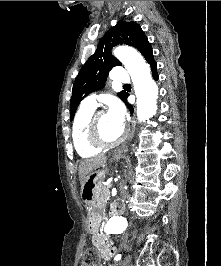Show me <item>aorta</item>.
Wrapping results in <instances>:
<instances>
[{
	"label": "aorta",
	"mask_w": 221,
	"mask_h": 266,
	"mask_svg": "<svg viewBox=\"0 0 221 266\" xmlns=\"http://www.w3.org/2000/svg\"><path fill=\"white\" fill-rule=\"evenodd\" d=\"M114 55L131 76L137 98V117L144 122L153 117L157 110L158 86L151 76L150 68L141 54L132 48L119 46L114 50ZM126 228L127 221L122 216L111 217L104 227L109 234H121Z\"/></svg>",
	"instance_id": "obj_1"
}]
</instances>
